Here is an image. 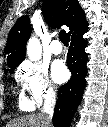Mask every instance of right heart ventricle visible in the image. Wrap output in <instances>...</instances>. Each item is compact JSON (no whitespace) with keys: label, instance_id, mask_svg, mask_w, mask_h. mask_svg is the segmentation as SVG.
<instances>
[{"label":"right heart ventricle","instance_id":"obj_1","mask_svg":"<svg viewBox=\"0 0 108 127\" xmlns=\"http://www.w3.org/2000/svg\"><path fill=\"white\" fill-rule=\"evenodd\" d=\"M19 104L23 110L30 111L33 109V105L24 96H20Z\"/></svg>","mask_w":108,"mask_h":127}]
</instances>
